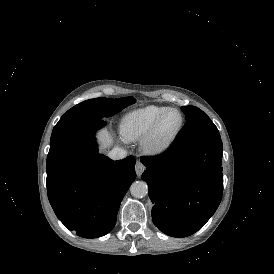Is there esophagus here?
Wrapping results in <instances>:
<instances>
[{"label":"esophagus","mask_w":274,"mask_h":274,"mask_svg":"<svg viewBox=\"0 0 274 274\" xmlns=\"http://www.w3.org/2000/svg\"><path fill=\"white\" fill-rule=\"evenodd\" d=\"M146 167L139 161L136 162L135 164V170L138 176H141V174L144 172Z\"/></svg>","instance_id":"34e87169"}]
</instances>
